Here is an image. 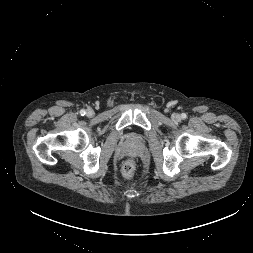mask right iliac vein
I'll return each mask as SVG.
<instances>
[{
    "label": "right iliac vein",
    "instance_id": "right-iliac-vein-1",
    "mask_svg": "<svg viewBox=\"0 0 253 253\" xmlns=\"http://www.w3.org/2000/svg\"><path fill=\"white\" fill-rule=\"evenodd\" d=\"M87 116H93L94 115V111L89 109L87 112H86Z\"/></svg>",
    "mask_w": 253,
    "mask_h": 253
}]
</instances>
